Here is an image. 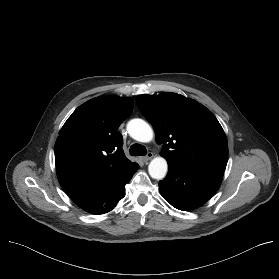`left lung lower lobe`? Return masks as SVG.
<instances>
[{
  "label": "left lung lower lobe",
  "instance_id": "0a47b994",
  "mask_svg": "<svg viewBox=\"0 0 279 279\" xmlns=\"http://www.w3.org/2000/svg\"><path fill=\"white\" fill-rule=\"evenodd\" d=\"M168 174L159 182L162 196L179 210L195 209L218 190L223 172L185 167L168 162Z\"/></svg>",
  "mask_w": 279,
  "mask_h": 279
}]
</instances>
